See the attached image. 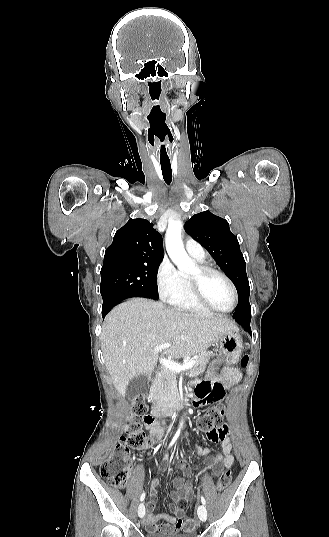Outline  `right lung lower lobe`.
I'll return each mask as SVG.
<instances>
[{
	"mask_svg": "<svg viewBox=\"0 0 329 537\" xmlns=\"http://www.w3.org/2000/svg\"><path fill=\"white\" fill-rule=\"evenodd\" d=\"M129 297H136V295L120 292H110L103 296L102 317L104 318L114 305L120 303L122 300Z\"/></svg>",
	"mask_w": 329,
	"mask_h": 537,
	"instance_id": "1",
	"label": "right lung lower lobe"
}]
</instances>
